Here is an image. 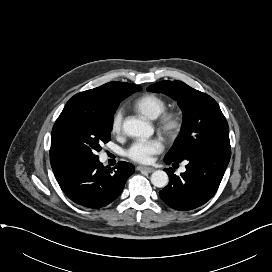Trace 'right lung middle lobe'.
Returning <instances> with one entry per match:
<instances>
[{
    "label": "right lung middle lobe",
    "instance_id": "1",
    "mask_svg": "<svg viewBox=\"0 0 272 272\" xmlns=\"http://www.w3.org/2000/svg\"><path fill=\"white\" fill-rule=\"evenodd\" d=\"M140 89L137 87L132 93ZM116 109L100 115L74 113L57 120L51 135V149L56 157L68 164L99 159L101 144L110 141Z\"/></svg>",
    "mask_w": 272,
    "mask_h": 272
}]
</instances>
